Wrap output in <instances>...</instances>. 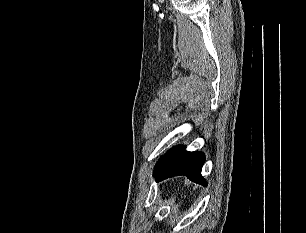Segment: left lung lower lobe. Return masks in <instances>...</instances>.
<instances>
[{
    "label": "left lung lower lobe",
    "mask_w": 306,
    "mask_h": 233,
    "mask_svg": "<svg viewBox=\"0 0 306 233\" xmlns=\"http://www.w3.org/2000/svg\"><path fill=\"white\" fill-rule=\"evenodd\" d=\"M205 161V156L201 152H188L184 147L173 148L162 157L157 163L154 176L157 181L169 177L185 175L191 181L207 185L201 175V169Z\"/></svg>",
    "instance_id": "0a47b994"
}]
</instances>
